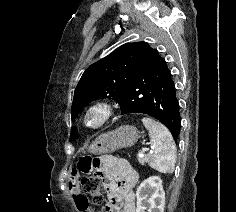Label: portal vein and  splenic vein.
<instances>
[{"mask_svg":"<svg viewBox=\"0 0 236 212\" xmlns=\"http://www.w3.org/2000/svg\"><path fill=\"white\" fill-rule=\"evenodd\" d=\"M143 150H146V149H143ZM150 153L152 154V153H153V151L151 150V151H150Z\"/></svg>","mask_w":236,"mask_h":212,"instance_id":"18ae733b","label":"portal vein and splenic vein"}]
</instances>
